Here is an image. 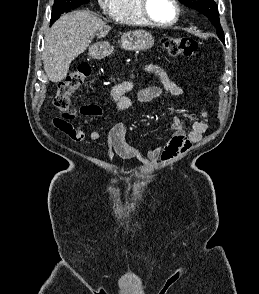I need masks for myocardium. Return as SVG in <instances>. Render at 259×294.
I'll use <instances>...</instances> for the list:
<instances>
[{
	"mask_svg": "<svg viewBox=\"0 0 259 294\" xmlns=\"http://www.w3.org/2000/svg\"><path fill=\"white\" fill-rule=\"evenodd\" d=\"M171 1L174 5V8H175V16H174L173 20H171L170 22H166V23L158 22L150 15L149 10H148L149 0H139V10H140L142 17L146 20V22L149 25H153V26L161 27V28L171 27L178 22L180 15H181V9H180V5H179L178 0H171Z\"/></svg>",
	"mask_w": 259,
	"mask_h": 294,
	"instance_id": "1",
	"label": "myocardium"
}]
</instances>
